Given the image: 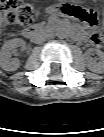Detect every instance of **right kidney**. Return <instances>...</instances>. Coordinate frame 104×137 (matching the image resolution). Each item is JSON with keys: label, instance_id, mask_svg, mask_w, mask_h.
Segmentation results:
<instances>
[{"label": "right kidney", "instance_id": "ca27d5eb", "mask_svg": "<svg viewBox=\"0 0 104 137\" xmlns=\"http://www.w3.org/2000/svg\"><path fill=\"white\" fill-rule=\"evenodd\" d=\"M25 41L21 38H14L7 41L0 50V67L6 71H15L20 66L18 59H11V51L14 48H25Z\"/></svg>", "mask_w": 104, "mask_h": 137}]
</instances>
